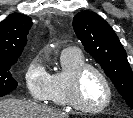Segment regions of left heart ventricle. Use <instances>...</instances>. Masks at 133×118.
Returning <instances> with one entry per match:
<instances>
[{"mask_svg":"<svg viewBox=\"0 0 133 118\" xmlns=\"http://www.w3.org/2000/svg\"><path fill=\"white\" fill-rule=\"evenodd\" d=\"M80 96L85 105L99 107L106 101L107 89L102 78L93 70H88L82 77Z\"/></svg>","mask_w":133,"mask_h":118,"instance_id":"b2bd125f","label":"left heart ventricle"}]
</instances>
